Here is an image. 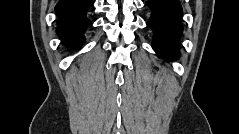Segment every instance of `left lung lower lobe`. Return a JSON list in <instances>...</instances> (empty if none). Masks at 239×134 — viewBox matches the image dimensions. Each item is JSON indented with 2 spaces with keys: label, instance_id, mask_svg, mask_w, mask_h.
<instances>
[{
  "label": "left lung lower lobe",
  "instance_id": "left-lung-lower-lobe-1",
  "mask_svg": "<svg viewBox=\"0 0 239 134\" xmlns=\"http://www.w3.org/2000/svg\"><path fill=\"white\" fill-rule=\"evenodd\" d=\"M146 5L152 16L147 25L153 30L152 47L160 57H179V38L182 34V7L178 0H149Z\"/></svg>",
  "mask_w": 239,
  "mask_h": 134
}]
</instances>
